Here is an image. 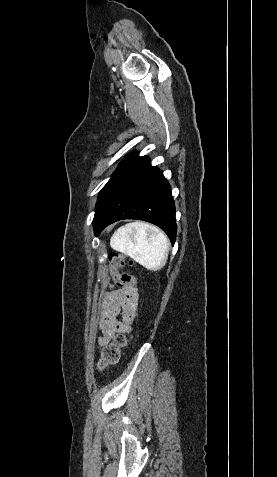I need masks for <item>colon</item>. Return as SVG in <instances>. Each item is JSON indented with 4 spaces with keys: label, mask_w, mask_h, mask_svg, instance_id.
I'll return each mask as SVG.
<instances>
[{
    "label": "colon",
    "mask_w": 277,
    "mask_h": 477,
    "mask_svg": "<svg viewBox=\"0 0 277 477\" xmlns=\"http://www.w3.org/2000/svg\"><path fill=\"white\" fill-rule=\"evenodd\" d=\"M109 263L112 278L119 287L126 285L136 286V279L134 276L120 272L126 264L133 265V261L127 260L122 254L113 252L109 255ZM126 344L127 339L123 334L115 335L111 342L102 348L101 357L97 363V369L103 370L107 366L116 364L119 360L121 349H123Z\"/></svg>",
    "instance_id": "5ec220e1"
}]
</instances>
